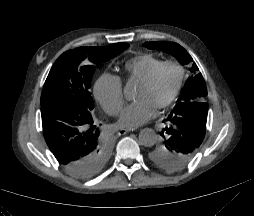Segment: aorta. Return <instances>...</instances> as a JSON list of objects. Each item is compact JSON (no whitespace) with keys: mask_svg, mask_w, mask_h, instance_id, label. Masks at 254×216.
I'll list each match as a JSON object with an SVG mask.
<instances>
[{"mask_svg":"<svg viewBox=\"0 0 254 216\" xmlns=\"http://www.w3.org/2000/svg\"><path fill=\"white\" fill-rule=\"evenodd\" d=\"M139 142L145 147H151L157 142V134L151 128H144L139 133Z\"/></svg>","mask_w":254,"mask_h":216,"instance_id":"762f6f07","label":"aorta"}]
</instances>
